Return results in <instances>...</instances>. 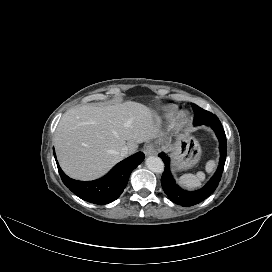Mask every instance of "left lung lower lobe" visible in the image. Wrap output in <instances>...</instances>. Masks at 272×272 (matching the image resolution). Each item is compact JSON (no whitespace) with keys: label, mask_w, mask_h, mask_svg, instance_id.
Returning a JSON list of instances; mask_svg holds the SVG:
<instances>
[{"label":"left lung lower lobe","mask_w":272,"mask_h":272,"mask_svg":"<svg viewBox=\"0 0 272 272\" xmlns=\"http://www.w3.org/2000/svg\"><path fill=\"white\" fill-rule=\"evenodd\" d=\"M205 125H209L215 131L218 139H219V149H220V161L217 171L212 176V178L199 190L196 191H186L180 188L171 172H170V159L166 154L163 152L159 154V157L162 158L163 162L165 163V171L161 177V184L163 187L164 192L167 194L169 199L179 205L184 207L196 205L203 200H205L208 196H210L214 190L217 188L218 183L221 179L222 172L225 165L226 154H227V142H226V135L224 129L222 127L221 122L216 117L213 120L207 121L203 123ZM202 125V124H200Z\"/></svg>","instance_id":"0a47b994"}]
</instances>
